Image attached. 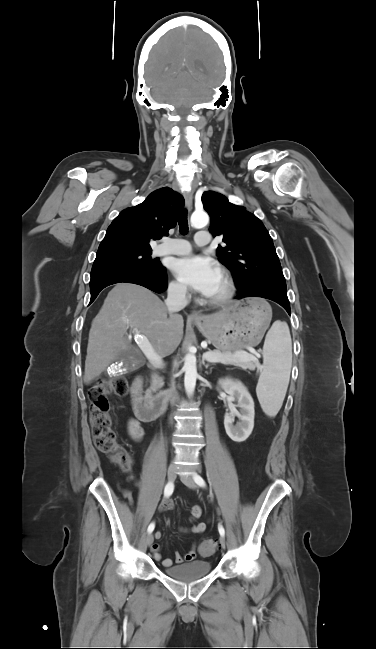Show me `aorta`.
Instances as JSON below:
<instances>
[{
    "label": "aorta",
    "instance_id": "762f6f07",
    "mask_svg": "<svg viewBox=\"0 0 376 649\" xmlns=\"http://www.w3.org/2000/svg\"><path fill=\"white\" fill-rule=\"evenodd\" d=\"M209 222V217L205 212H194L191 215V226L197 229L205 227ZM184 386L188 394H192L195 390L196 380L198 377L196 356L189 349V352L184 357Z\"/></svg>",
    "mask_w": 376,
    "mask_h": 649
}]
</instances>
